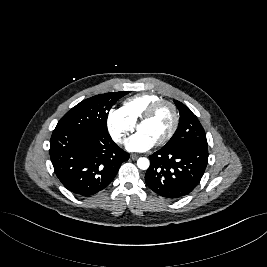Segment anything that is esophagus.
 Instances as JSON below:
<instances>
[{
    "label": "esophagus",
    "mask_w": 267,
    "mask_h": 267,
    "mask_svg": "<svg viewBox=\"0 0 267 267\" xmlns=\"http://www.w3.org/2000/svg\"><path fill=\"white\" fill-rule=\"evenodd\" d=\"M130 157H131L132 160H136V159H138L139 155L131 154Z\"/></svg>",
    "instance_id": "esophagus-1"
}]
</instances>
